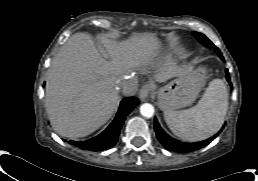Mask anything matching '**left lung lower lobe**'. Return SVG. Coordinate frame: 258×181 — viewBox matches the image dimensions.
I'll use <instances>...</instances> for the list:
<instances>
[{
  "instance_id": "0a47b994",
  "label": "left lung lower lobe",
  "mask_w": 258,
  "mask_h": 181,
  "mask_svg": "<svg viewBox=\"0 0 258 181\" xmlns=\"http://www.w3.org/2000/svg\"><path fill=\"white\" fill-rule=\"evenodd\" d=\"M221 59L224 60L223 57ZM226 78H227V81L230 83V77H229L228 70H226ZM154 129H155L158 140L166 149L174 151V152H182V153H188V152L200 149V148L208 145L218 135V134H216L213 137L206 139L204 141H201V142L182 143V142L172 139L169 135H167L164 132V130L160 127L156 118L154 119Z\"/></svg>"
}]
</instances>
